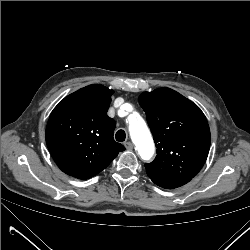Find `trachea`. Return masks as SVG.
Here are the masks:
<instances>
[{
  "label": "trachea",
  "mask_w": 250,
  "mask_h": 250,
  "mask_svg": "<svg viewBox=\"0 0 250 250\" xmlns=\"http://www.w3.org/2000/svg\"><path fill=\"white\" fill-rule=\"evenodd\" d=\"M115 137L117 141L123 142L126 139V133L124 130H118Z\"/></svg>",
  "instance_id": "trachea-1"
}]
</instances>
